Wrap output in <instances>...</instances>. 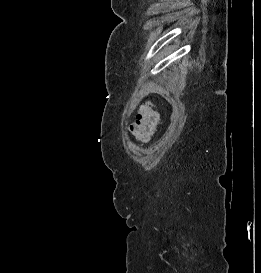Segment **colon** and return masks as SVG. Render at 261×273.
I'll list each match as a JSON object with an SVG mask.
<instances>
[{"instance_id": "5ec220e1", "label": "colon", "mask_w": 261, "mask_h": 273, "mask_svg": "<svg viewBox=\"0 0 261 273\" xmlns=\"http://www.w3.org/2000/svg\"><path fill=\"white\" fill-rule=\"evenodd\" d=\"M157 120L158 116L153 110L147 107L140 108L134 123L131 125V134L138 141H147L155 130Z\"/></svg>"}]
</instances>
